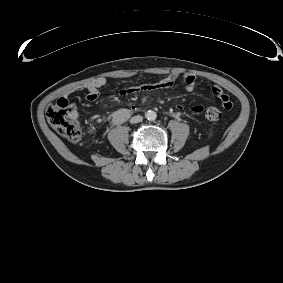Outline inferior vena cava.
<instances>
[{
  "instance_id": "1",
  "label": "inferior vena cava",
  "mask_w": 283,
  "mask_h": 283,
  "mask_svg": "<svg viewBox=\"0 0 283 283\" xmlns=\"http://www.w3.org/2000/svg\"><path fill=\"white\" fill-rule=\"evenodd\" d=\"M142 120H143V117L140 116V115H137V116L132 117V118L130 119V122H131L132 124H134V123L141 122Z\"/></svg>"
}]
</instances>
